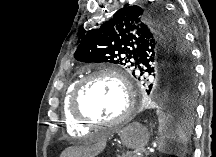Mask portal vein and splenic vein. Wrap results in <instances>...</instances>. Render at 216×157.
I'll return each mask as SVG.
<instances>
[{"mask_svg": "<svg viewBox=\"0 0 216 157\" xmlns=\"http://www.w3.org/2000/svg\"><path fill=\"white\" fill-rule=\"evenodd\" d=\"M146 150H147V152H149L151 149H150V148H147Z\"/></svg>", "mask_w": 216, "mask_h": 157, "instance_id": "18ae733b", "label": "portal vein and splenic vein"}]
</instances>
